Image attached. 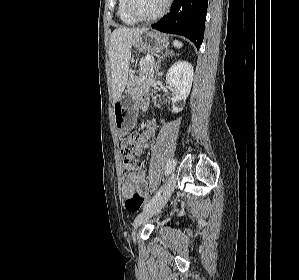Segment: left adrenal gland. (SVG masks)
<instances>
[{
	"label": "left adrenal gland",
	"mask_w": 299,
	"mask_h": 280,
	"mask_svg": "<svg viewBox=\"0 0 299 280\" xmlns=\"http://www.w3.org/2000/svg\"><path fill=\"white\" fill-rule=\"evenodd\" d=\"M173 56H174V53L172 51L166 50L165 53L162 54L161 57H159V61H158L159 65H158V67L156 69V73L159 71L160 65L165 60V58L166 57H173Z\"/></svg>",
	"instance_id": "obj_1"
}]
</instances>
